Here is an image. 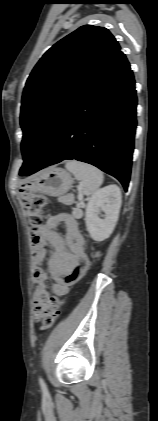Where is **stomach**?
Wrapping results in <instances>:
<instances>
[{"mask_svg": "<svg viewBox=\"0 0 158 421\" xmlns=\"http://www.w3.org/2000/svg\"><path fill=\"white\" fill-rule=\"evenodd\" d=\"M73 184L71 175L61 168H48L31 178L21 187L22 196L41 193L49 196L66 194Z\"/></svg>", "mask_w": 158, "mask_h": 421, "instance_id": "0dacf381", "label": "stomach"}]
</instances>
